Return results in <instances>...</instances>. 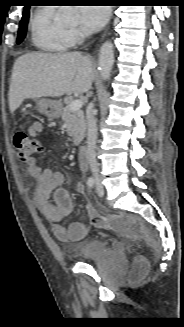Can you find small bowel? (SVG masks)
<instances>
[{"label":"small bowel","instance_id":"small-bowel-1","mask_svg":"<svg viewBox=\"0 0 184 327\" xmlns=\"http://www.w3.org/2000/svg\"><path fill=\"white\" fill-rule=\"evenodd\" d=\"M43 126L38 120L28 127L31 137H39ZM28 174L36 179L37 187L33 193V201L39 211L51 223L52 232L62 241L80 240L87 234V225L81 221L72 222L67 228L60 222L68 216L73 209V202L69 192L62 187L65 176L58 170L41 168L35 160L27 164ZM84 185L78 183L76 190L84 192Z\"/></svg>","mask_w":184,"mask_h":327}]
</instances>
